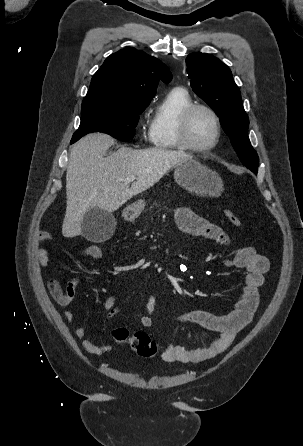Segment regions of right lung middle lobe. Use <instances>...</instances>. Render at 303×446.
<instances>
[{
  "mask_svg": "<svg viewBox=\"0 0 303 446\" xmlns=\"http://www.w3.org/2000/svg\"><path fill=\"white\" fill-rule=\"evenodd\" d=\"M147 106L88 105L82 106L81 123L70 144L91 132H103L122 141L133 138L139 114Z\"/></svg>",
  "mask_w": 303,
  "mask_h": 446,
  "instance_id": "dd1d6c3e",
  "label": "right lung middle lobe"
}]
</instances>
